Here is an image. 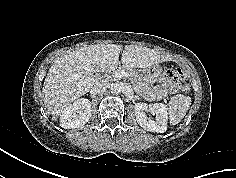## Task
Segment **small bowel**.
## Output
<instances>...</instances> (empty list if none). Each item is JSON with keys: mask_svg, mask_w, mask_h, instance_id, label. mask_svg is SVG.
Wrapping results in <instances>:
<instances>
[{"mask_svg": "<svg viewBox=\"0 0 236 178\" xmlns=\"http://www.w3.org/2000/svg\"><path fill=\"white\" fill-rule=\"evenodd\" d=\"M183 78H186L185 74H182ZM177 89V85L175 82L169 80H162L161 83L157 86L156 93L153 96L154 100L162 99L169 92L175 91Z\"/></svg>", "mask_w": 236, "mask_h": 178, "instance_id": "1", "label": "small bowel"}]
</instances>
